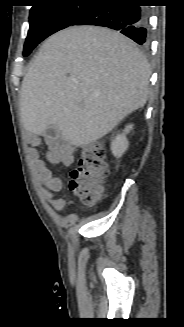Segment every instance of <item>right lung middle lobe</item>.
I'll list each match as a JSON object with an SVG mask.
<instances>
[{
	"label": "right lung middle lobe",
	"mask_w": 184,
	"mask_h": 327,
	"mask_svg": "<svg viewBox=\"0 0 184 327\" xmlns=\"http://www.w3.org/2000/svg\"><path fill=\"white\" fill-rule=\"evenodd\" d=\"M77 1H87L79 5ZM94 0H52L32 7L29 15V31L24 45V56L46 37L71 26L91 6Z\"/></svg>",
	"instance_id": "dd1d6c3e"
}]
</instances>
